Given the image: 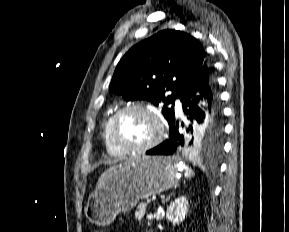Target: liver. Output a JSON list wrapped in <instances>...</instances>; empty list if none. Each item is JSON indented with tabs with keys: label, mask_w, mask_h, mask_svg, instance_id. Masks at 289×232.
<instances>
[{
	"label": "liver",
	"mask_w": 289,
	"mask_h": 232,
	"mask_svg": "<svg viewBox=\"0 0 289 232\" xmlns=\"http://www.w3.org/2000/svg\"><path fill=\"white\" fill-rule=\"evenodd\" d=\"M131 161H132V160H131ZM131 161H129V162H127V163H130ZM127 163H125V164H127ZM125 164H124V165H125ZM121 167H123V165L114 166V167L106 170V171L99 177L98 182H97V185H96V189L100 188V187L104 184V182L106 181V179L111 175V173H112L115 169L121 168Z\"/></svg>",
	"instance_id": "6515ba94"
}]
</instances>
